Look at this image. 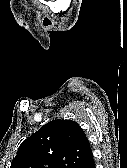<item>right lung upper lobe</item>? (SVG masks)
<instances>
[{"label":"right lung upper lobe","instance_id":"obj_1","mask_svg":"<svg viewBox=\"0 0 127 168\" xmlns=\"http://www.w3.org/2000/svg\"><path fill=\"white\" fill-rule=\"evenodd\" d=\"M93 157L78 123L52 120L20 145L10 168H75Z\"/></svg>","mask_w":127,"mask_h":168}]
</instances>
